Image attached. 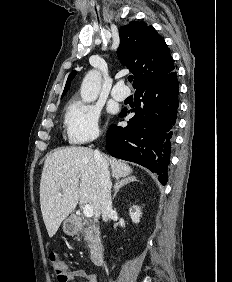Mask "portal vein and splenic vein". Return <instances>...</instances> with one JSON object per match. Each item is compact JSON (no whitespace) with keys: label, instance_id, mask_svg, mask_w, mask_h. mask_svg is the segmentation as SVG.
I'll list each match as a JSON object with an SVG mask.
<instances>
[{"label":"portal vein and splenic vein","instance_id":"obj_1","mask_svg":"<svg viewBox=\"0 0 232 282\" xmlns=\"http://www.w3.org/2000/svg\"><path fill=\"white\" fill-rule=\"evenodd\" d=\"M83 213L85 215V217L90 218L93 216V208L91 205L86 204L83 208Z\"/></svg>","mask_w":232,"mask_h":282}]
</instances>
